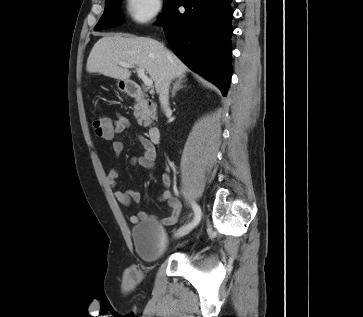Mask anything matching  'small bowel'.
I'll list each match as a JSON object with an SVG mask.
<instances>
[{
	"instance_id": "c3829d8e",
	"label": "small bowel",
	"mask_w": 363,
	"mask_h": 317,
	"mask_svg": "<svg viewBox=\"0 0 363 317\" xmlns=\"http://www.w3.org/2000/svg\"><path fill=\"white\" fill-rule=\"evenodd\" d=\"M130 127L129 119L124 115H118L116 120L111 123L110 128L106 131L97 133L101 138L105 140L111 141L112 150L115 154L119 155L123 151V143L120 140L115 139V136L121 134L128 130ZM138 140L144 148V154L140 157L133 158L131 160L132 164H140L146 169H154L155 167V159H156V149L154 143L143 135L138 136ZM119 178V171L117 169H112L108 176L107 181L111 187H115L117 185V180ZM161 181L163 185V191L160 195V200L167 202L169 215L158 219L154 215H149L145 212H140L137 215H130L129 220L131 223H137L140 219L144 220H153V221H161L164 225H172L174 224L181 211V203L180 201L174 197L171 191V177L168 173H163L161 176ZM115 197L119 204L123 207L127 208L131 205L132 202L140 203L141 202V194L140 192L128 189V190H117L115 192Z\"/></svg>"
}]
</instances>
